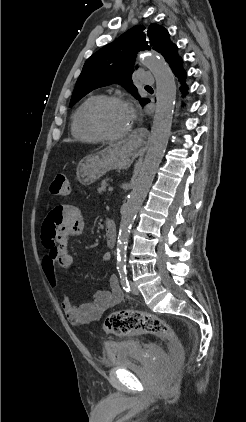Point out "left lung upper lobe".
<instances>
[{
    "label": "left lung upper lobe",
    "instance_id": "5c2ea615",
    "mask_svg": "<svg viewBox=\"0 0 246 422\" xmlns=\"http://www.w3.org/2000/svg\"><path fill=\"white\" fill-rule=\"evenodd\" d=\"M151 49L160 53L166 62L177 49L170 41L168 31L156 23H152L148 29L135 26L94 53L84 64L71 97L70 107L92 90L113 83L122 84L145 105L149 99L137 95L131 74L137 53Z\"/></svg>",
    "mask_w": 246,
    "mask_h": 422
}]
</instances>
